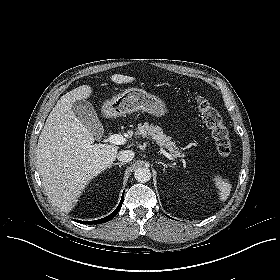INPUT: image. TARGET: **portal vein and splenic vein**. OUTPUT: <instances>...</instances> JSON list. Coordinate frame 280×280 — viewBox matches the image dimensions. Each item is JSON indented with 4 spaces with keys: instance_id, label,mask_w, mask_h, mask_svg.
<instances>
[{
    "instance_id": "1",
    "label": "portal vein and splenic vein",
    "mask_w": 280,
    "mask_h": 280,
    "mask_svg": "<svg viewBox=\"0 0 280 280\" xmlns=\"http://www.w3.org/2000/svg\"><path fill=\"white\" fill-rule=\"evenodd\" d=\"M108 142L115 144V145H123L126 142V139L120 134H113L110 135L107 139ZM161 153L165 155L168 159H173L172 155L167 153L163 148L160 149Z\"/></svg>"
}]
</instances>
